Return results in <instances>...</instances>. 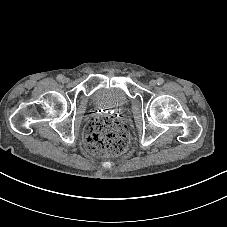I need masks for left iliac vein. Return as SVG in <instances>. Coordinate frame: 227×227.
<instances>
[{
    "label": "left iliac vein",
    "mask_w": 227,
    "mask_h": 227,
    "mask_svg": "<svg viewBox=\"0 0 227 227\" xmlns=\"http://www.w3.org/2000/svg\"><path fill=\"white\" fill-rule=\"evenodd\" d=\"M156 84H157V81L156 80H151L150 82H149V85L150 86H156Z\"/></svg>",
    "instance_id": "4c4485c4"
}]
</instances>
